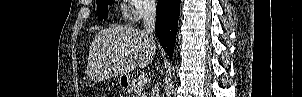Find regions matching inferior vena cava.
<instances>
[{
	"label": "inferior vena cava",
	"mask_w": 302,
	"mask_h": 97,
	"mask_svg": "<svg viewBox=\"0 0 302 97\" xmlns=\"http://www.w3.org/2000/svg\"><path fill=\"white\" fill-rule=\"evenodd\" d=\"M155 20H156V3L154 0H147L144 3V31L150 35L153 39V34L155 32ZM154 40V39H153ZM151 97H159V85L155 84L151 91Z\"/></svg>",
	"instance_id": "obj_1"
}]
</instances>
